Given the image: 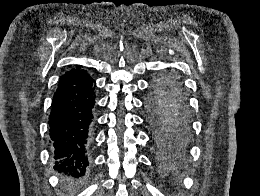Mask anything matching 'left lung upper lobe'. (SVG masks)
Returning a JSON list of instances; mask_svg holds the SVG:
<instances>
[{
  "label": "left lung upper lobe",
  "mask_w": 260,
  "mask_h": 196,
  "mask_svg": "<svg viewBox=\"0 0 260 196\" xmlns=\"http://www.w3.org/2000/svg\"><path fill=\"white\" fill-rule=\"evenodd\" d=\"M146 120L156 146L163 151L184 148L193 137L192 113L180 79L157 77L145 100Z\"/></svg>",
  "instance_id": "1"
}]
</instances>
